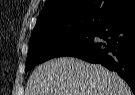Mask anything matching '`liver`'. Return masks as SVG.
Returning a JSON list of instances; mask_svg holds the SVG:
<instances>
[{"label":"liver","mask_w":135,"mask_h":95,"mask_svg":"<svg viewBox=\"0 0 135 95\" xmlns=\"http://www.w3.org/2000/svg\"><path fill=\"white\" fill-rule=\"evenodd\" d=\"M25 95H132L118 74L75 58H56L31 74Z\"/></svg>","instance_id":"1"}]
</instances>
